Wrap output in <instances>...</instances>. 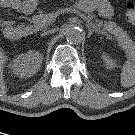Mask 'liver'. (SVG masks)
Instances as JSON below:
<instances>
[{"mask_svg":"<svg viewBox=\"0 0 135 135\" xmlns=\"http://www.w3.org/2000/svg\"><path fill=\"white\" fill-rule=\"evenodd\" d=\"M6 59L7 56L5 55L3 49L0 47V94H5L7 92V88L3 79V68Z\"/></svg>","mask_w":135,"mask_h":135,"instance_id":"1","label":"liver"}]
</instances>
